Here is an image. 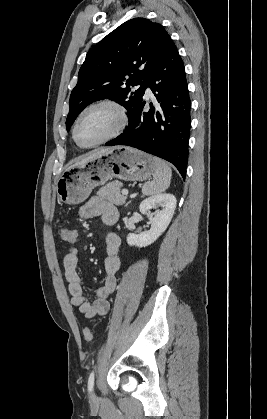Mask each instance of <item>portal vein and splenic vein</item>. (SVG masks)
I'll return each instance as SVG.
<instances>
[{"label": "portal vein and splenic vein", "mask_w": 267, "mask_h": 419, "mask_svg": "<svg viewBox=\"0 0 267 419\" xmlns=\"http://www.w3.org/2000/svg\"><path fill=\"white\" fill-rule=\"evenodd\" d=\"M122 194L125 195V196H127L128 195V190L127 189H123L122 190Z\"/></svg>", "instance_id": "obj_1"}]
</instances>
